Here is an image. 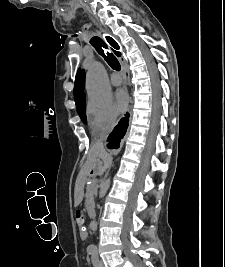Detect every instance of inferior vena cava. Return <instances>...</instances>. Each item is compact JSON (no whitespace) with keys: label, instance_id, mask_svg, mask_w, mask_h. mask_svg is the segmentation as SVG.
Returning a JSON list of instances; mask_svg holds the SVG:
<instances>
[{"label":"inferior vena cava","instance_id":"inferior-vena-cava-1","mask_svg":"<svg viewBox=\"0 0 225 267\" xmlns=\"http://www.w3.org/2000/svg\"><path fill=\"white\" fill-rule=\"evenodd\" d=\"M112 126H113V124H112L109 128H107L106 130H103V131H102V133H101V135H100V138H99L98 141H97V144H98L99 146L104 147V145H103V141H105V140L107 139V136H108V134H109L110 128H111Z\"/></svg>","mask_w":225,"mask_h":267}]
</instances>
